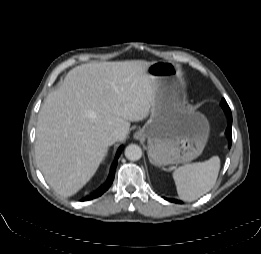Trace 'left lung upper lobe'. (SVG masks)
Returning a JSON list of instances; mask_svg holds the SVG:
<instances>
[{"label": "left lung upper lobe", "instance_id": "left-lung-upper-lobe-1", "mask_svg": "<svg viewBox=\"0 0 261 254\" xmlns=\"http://www.w3.org/2000/svg\"><path fill=\"white\" fill-rule=\"evenodd\" d=\"M221 107L223 108L224 112H231L227 102L225 101V99H222Z\"/></svg>", "mask_w": 261, "mask_h": 254}]
</instances>
